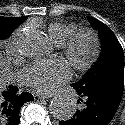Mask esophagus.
Listing matches in <instances>:
<instances>
[{
	"mask_svg": "<svg viewBox=\"0 0 125 125\" xmlns=\"http://www.w3.org/2000/svg\"><path fill=\"white\" fill-rule=\"evenodd\" d=\"M40 99H49L52 97V95H46V94H38L37 95Z\"/></svg>",
	"mask_w": 125,
	"mask_h": 125,
	"instance_id": "obj_1",
	"label": "esophagus"
}]
</instances>
